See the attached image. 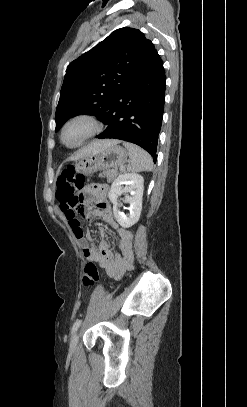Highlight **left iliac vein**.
<instances>
[{
    "label": "left iliac vein",
    "instance_id": "4c4485c4",
    "mask_svg": "<svg viewBox=\"0 0 247 407\" xmlns=\"http://www.w3.org/2000/svg\"><path fill=\"white\" fill-rule=\"evenodd\" d=\"M78 343V333H74L70 340V348L75 349Z\"/></svg>",
    "mask_w": 247,
    "mask_h": 407
}]
</instances>
